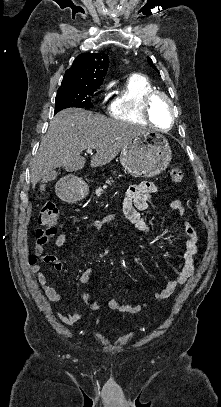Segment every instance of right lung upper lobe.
Wrapping results in <instances>:
<instances>
[{"label":"right lung upper lobe","instance_id":"cb5924a9","mask_svg":"<svg viewBox=\"0 0 221 407\" xmlns=\"http://www.w3.org/2000/svg\"><path fill=\"white\" fill-rule=\"evenodd\" d=\"M109 58L106 54H80L70 69L65 72L61 88H98L108 69Z\"/></svg>","mask_w":221,"mask_h":407}]
</instances>
